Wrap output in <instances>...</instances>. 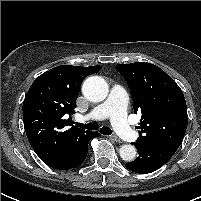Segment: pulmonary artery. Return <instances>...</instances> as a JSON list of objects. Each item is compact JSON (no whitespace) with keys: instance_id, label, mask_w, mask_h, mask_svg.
<instances>
[{"instance_id":"obj_1","label":"pulmonary artery","mask_w":201,"mask_h":201,"mask_svg":"<svg viewBox=\"0 0 201 201\" xmlns=\"http://www.w3.org/2000/svg\"><path fill=\"white\" fill-rule=\"evenodd\" d=\"M128 97L118 84L112 86L107 99L85 115H78V121L102 120L109 118L117 134L126 141L133 142L139 134L129 125L126 117Z\"/></svg>"}]
</instances>
